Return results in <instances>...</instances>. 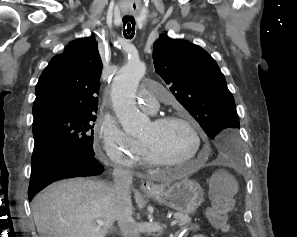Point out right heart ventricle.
<instances>
[{
    "instance_id": "obj_1",
    "label": "right heart ventricle",
    "mask_w": 297,
    "mask_h": 237,
    "mask_svg": "<svg viewBox=\"0 0 297 237\" xmlns=\"http://www.w3.org/2000/svg\"><path fill=\"white\" fill-rule=\"evenodd\" d=\"M140 162L144 163V164H150V162L148 161L147 156H146L145 151H144L142 146H141V149H140Z\"/></svg>"
}]
</instances>
